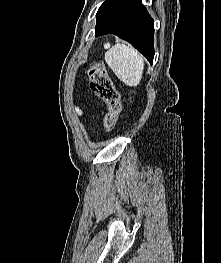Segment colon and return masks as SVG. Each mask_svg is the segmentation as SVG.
I'll list each match as a JSON object with an SVG mask.
<instances>
[{"label": "colon", "mask_w": 221, "mask_h": 263, "mask_svg": "<svg viewBox=\"0 0 221 263\" xmlns=\"http://www.w3.org/2000/svg\"><path fill=\"white\" fill-rule=\"evenodd\" d=\"M88 76L91 90L106 105L104 127L110 132L116 126L122 111L120 93L101 63H92L88 69Z\"/></svg>", "instance_id": "obj_1"}]
</instances>
